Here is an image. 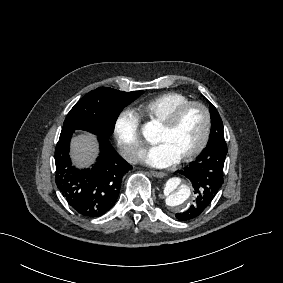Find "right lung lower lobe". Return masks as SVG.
<instances>
[{
  "instance_id": "right-lung-lower-lobe-1",
  "label": "right lung lower lobe",
  "mask_w": 283,
  "mask_h": 283,
  "mask_svg": "<svg viewBox=\"0 0 283 283\" xmlns=\"http://www.w3.org/2000/svg\"><path fill=\"white\" fill-rule=\"evenodd\" d=\"M74 130L62 131L55 149L58 189L69 205L85 217H98L115 204L125 174L132 169L106 138L98 137L100 153L96 163L79 170L69 156Z\"/></svg>"
}]
</instances>
